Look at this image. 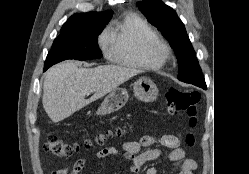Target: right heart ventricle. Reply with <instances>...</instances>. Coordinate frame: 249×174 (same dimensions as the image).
I'll list each match as a JSON object with an SVG mask.
<instances>
[{
    "label": "right heart ventricle",
    "mask_w": 249,
    "mask_h": 174,
    "mask_svg": "<svg viewBox=\"0 0 249 174\" xmlns=\"http://www.w3.org/2000/svg\"><path fill=\"white\" fill-rule=\"evenodd\" d=\"M112 43L110 59L115 64L158 70L163 63L146 54V47L159 40L151 25L137 14H127L114 21L109 28Z\"/></svg>",
    "instance_id": "obj_1"
}]
</instances>
